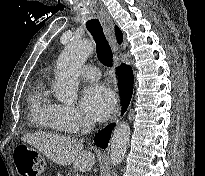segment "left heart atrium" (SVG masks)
<instances>
[{"instance_id":"39dd6f15","label":"left heart atrium","mask_w":205,"mask_h":176,"mask_svg":"<svg viewBox=\"0 0 205 176\" xmlns=\"http://www.w3.org/2000/svg\"><path fill=\"white\" fill-rule=\"evenodd\" d=\"M115 104L113 91L104 83L90 84L82 91V108L92 119L105 120L112 113Z\"/></svg>"}]
</instances>
